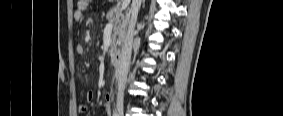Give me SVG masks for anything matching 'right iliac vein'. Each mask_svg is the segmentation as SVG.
Returning a JSON list of instances; mask_svg holds the SVG:
<instances>
[{"label":"right iliac vein","instance_id":"1","mask_svg":"<svg viewBox=\"0 0 283 116\" xmlns=\"http://www.w3.org/2000/svg\"><path fill=\"white\" fill-rule=\"evenodd\" d=\"M118 115H119V116H123V107H122V106H120V107L118 108Z\"/></svg>","mask_w":283,"mask_h":116}]
</instances>
